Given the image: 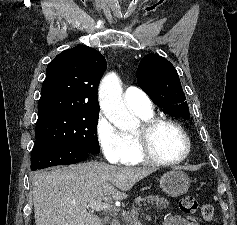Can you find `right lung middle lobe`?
I'll use <instances>...</instances> for the list:
<instances>
[{"label": "right lung middle lobe", "instance_id": "dd1d6c3e", "mask_svg": "<svg viewBox=\"0 0 237 225\" xmlns=\"http://www.w3.org/2000/svg\"><path fill=\"white\" fill-rule=\"evenodd\" d=\"M99 113L65 114L38 120L36 142L66 145L81 151L98 154L97 138Z\"/></svg>", "mask_w": 237, "mask_h": 225}]
</instances>
